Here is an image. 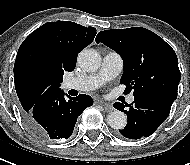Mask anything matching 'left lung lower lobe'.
I'll return each instance as SVG.
<instances>
[{
  "label": "left lung lower lobe",
  "mask_w": 190,
  "mask_h": 165,
  "mask_svg": "<svg viewBox=\"0 0 190 165\" xmlns=\"http://www.w3.org/2000/svg\"><path fill=\"white\" fill-rule=\"evenodd\" d=\"M174 100L163 96H140L125 110V105L116 102L113 106L127 114L126 127L119 130L120 134L130 139L148 137L168 117Z\"/></svg>",
  "instance_id": "obj_1"
}]
</instances>
